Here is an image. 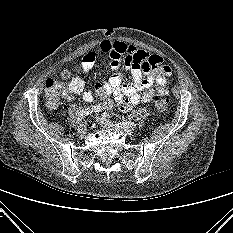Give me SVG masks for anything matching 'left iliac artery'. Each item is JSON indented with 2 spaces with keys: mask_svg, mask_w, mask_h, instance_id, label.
I'll use <instances>...</instances> for the list:
<instances>
[{
  "mask_svg": "<svg viewBox=\"0 0 233 233\" xmlns=\"http://www.w3.org/2000/svg\"><path fill=\"white\" fill-rule=\"evenodd\" d=\"M102 118L108 122H112L110 119V115L109 113H103ZM115 123V122H114ZM118 126H122L125 128H134L136 126V124L134 122L131 121H125V122H118L116 123Z\"/></svg>",
  "mask_w": 233,
  "mask_h": 233,
  "instance_id": "44dca946",
  "label": "left iliac artery"
}]
</instances>
